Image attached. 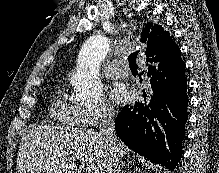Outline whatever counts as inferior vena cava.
Segmentation results:
<instances>
[{
	"label": "inferior vena cava",
	"mask_w": 219,
	"mask_h": 173,
	"mask_svg": "<svg viewBox=\"0 0 219 173\" xmlns=\"http://www.w3.org/2000/svg\"><path fill=\"white\" fill-rule=\"evenodd\" d=\"M115 112L111 107H105L99 124V134L109 149L111 158H109L106 173H119V155L117 148V138L114 131Z\"/></svg>",
	"instance_id": "obj_1"
}]
</instances>
